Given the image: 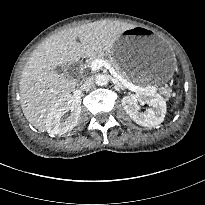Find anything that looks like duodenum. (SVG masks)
<instances>
[{
  "instance_id": "obj_1",
  "label": "duodenum",
  "mask_w": 205,
  "mask_h": 205,
  "mask_svg": "<svg viewBox=\"0 0 205 205\" xmlns=\"http://www.w3.org/2000/svg\"><path fill=\"white\" fill-rule=\"evenodd\" d=\"M78 74H79V76L81 75V69H80V67L78 68Z\"/></svg>"
}]
</instances>
